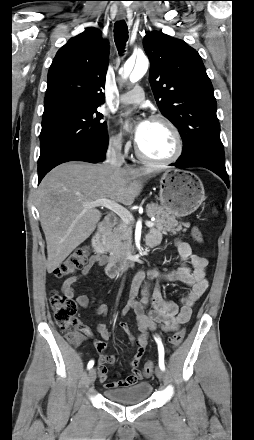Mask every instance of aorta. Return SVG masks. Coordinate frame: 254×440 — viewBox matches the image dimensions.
Returning <instances> with one entry per match:
<instances>
[{"label":"aorta","instance_id":"obj_1","mask_svg":"<svg viewBox=\"0 0 254 440\" xmlns=\"http://www.w3.org/2000/svg\"><path fill=\"white\" fill-rule=\"evenodd\" d=\"M148 66L149 61L146 56H139L136 61L129 60L124 65L123 78L126 79L130 75L132 81H138L147 72Z\"/></svg>","mask_w":254,"mask_h":440}]
</instances>
